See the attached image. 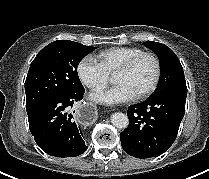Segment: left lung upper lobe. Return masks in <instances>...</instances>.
Masks as SVG:
<instances>
[{
    "instance_id": "left-lung-upper-lobe-1",
    "label": "left lung upper lobe",
    "mask_w": 209,
    "mask_h": 179,
    "mask_svg": "<svg viewBox=\"0 0 209 179\" xmlns=\"http://www.w3.org/2000/svg\"><path fill=\"white\" fill-rule=\"evenodd\" d=\"M143 45L153 50L157 54L160 62L159 84L150 98L161 95L172 89L187 88L180 61L169 47L153 41H146Z\"/></svg>"
}]
</instances>
